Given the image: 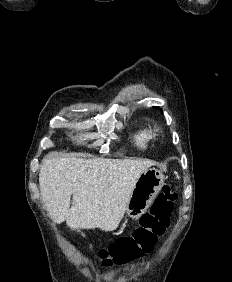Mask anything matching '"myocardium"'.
Wrapping results in <instances>:
<instances>
[{"label": "myocardium", "mask_w": 232, "mask_h": 282, "mask_svg": "<svg viewBox=\"0 0 232 282\" xmlns=\"http://www.w3.org/2000/svg\"><path fill=\"white\" fill-rule=\"evenodd\" d=\"M159 131H160V129H159L158 127H156V128H154V130H153V134L156 135V134L159 133Z\"/></svg>", "instance_id": "1"}]
</instances>
